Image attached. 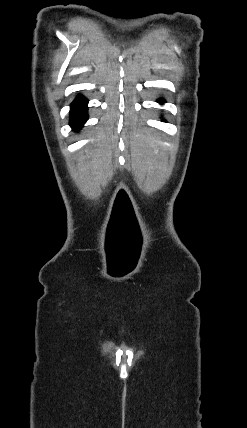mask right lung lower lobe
I'll use <instances>...</instances> for the list:
<instances>
[{
    "label": "right lung lower lobe",
    "mask_w": 247,
    "mask_h": 428,
    "mask_svg": "<svg viewBox=\"0 0 247 428\" xmlns=\"http://www.w3.org/2000/svg\"><path fill=\"white\" fill-rule=\"evenodd\" d=\"M88 100L78 96L72 103L70 109V125L74 130H78L87 121Z\"/></svg>",
    "instance_id": "1"
}]
</instances>
